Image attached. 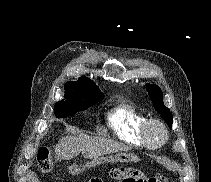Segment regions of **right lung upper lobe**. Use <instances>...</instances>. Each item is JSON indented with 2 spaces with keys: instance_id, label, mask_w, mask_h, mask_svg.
Here are the masks:
<instances>
[{
  "instance_id": "right-lung-upper-lobe-1",
  "label": "right lung upper lobe",
  "mask_w": 211,
  "mask_h": 182,
  "mask_svg": "<svg viewBox=\"0 0 211 182\" xmlns=\"http://www.w3.org/2000/svg\"><path fill=\"white\" fill-rule=\"evenodd\" d=\"M68 83H73V84H75V85H77L79 87L92 90V91H94V92H96L98 94H103L101 92V90L99 89V87L96 86L94 81H92L91 79H89L87 77H84V76L78 78V81H76V82L70 81Z\"/></svg>"
}]
</instances>
